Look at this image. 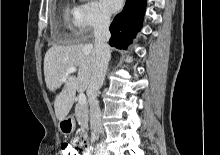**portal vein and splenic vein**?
<instances>
[{
  "label": "portal vein and splenic vein",
  "instance_id": "portal-vein-and-splenic-vein-1",
  "mask_svg": "<svg viewBox=\"0 0 220 155\" xmlns=\"http://www.w3.org/2000/svg\"><path fill=\"white\" fill-rule=\"evenodd\" d=\"M77 71V69L75 68V67H70V68H68L67 69V71H66V73H65V75L62 77V82H65L66 80H67V77L70 75V74H72V73H75ZM78 98H79V101H78V103L79 104H81V105H83V104H86V96H85V94L84 93H80L79 94V96H78Z\"/></svg>",
  "mask_w": 220,
  "mask_h": 155
}]
</instances>
